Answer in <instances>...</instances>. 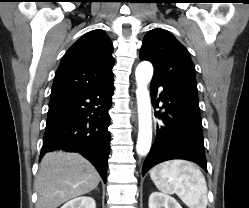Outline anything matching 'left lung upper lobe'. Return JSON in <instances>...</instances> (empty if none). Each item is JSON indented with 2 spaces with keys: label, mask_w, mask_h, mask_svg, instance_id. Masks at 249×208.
<instances>
[{
  "label": "left lung upper lobe",
  "mask_w": 249,
  "mask_h": 208,
  "mask_svg": "<svg viewBox=\"0 0 249 208\" xmlns=\"http://www.w3.org/2000/svg\"><path fill=\"white\" fill-rule=\"evenodd\" d=\"M141 60L154 66L153 77L198 98L195 66L187 49L164 29L149 31L142 43Z\"/></svg>",
  "instance_id": "1"
}]
</instances>
